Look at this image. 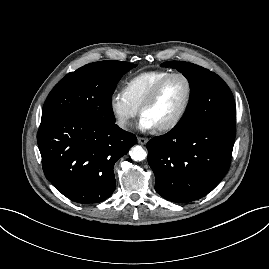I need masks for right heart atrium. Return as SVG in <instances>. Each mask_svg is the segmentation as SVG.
Masks as SVG:
<instances>
[{"instance_id":"obj_1","label":"right heart atrium","mask_w":269,"mask_h":269,"mask_svg":"<svg viewBox=\"0 0 269 269\" xmlns=\"http://www.w3.org/2000/svg\"><path fill=\"white\" fill-rule=\"evenodd\" d=\"M109 107L115 123L122 130H128L138 109L129 101L124 91L115 90L110 95Z\"/></svg>"}]
</instances>
